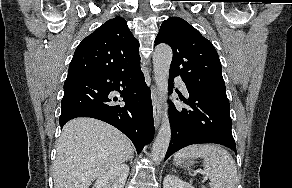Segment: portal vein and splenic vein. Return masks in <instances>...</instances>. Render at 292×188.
Wrapping results in <instances>:
<instances>
[{
    "instance_id": "portal-vein-and-splenic-vein-1",
    "label": "portal vein and splenic vein",
    "mask_w": 292,
    "mask_h": 188,
    "mask_svg": "<svg viewBox=\"0 0 292 188\" xmlns=\"http://www.w3.org/2000/svg\"><path fill=\"white\" fill-rule=\"evenodd\" d=\"M207 179V177H204V180H206Z\"/></svg>"
}]
</instances>
